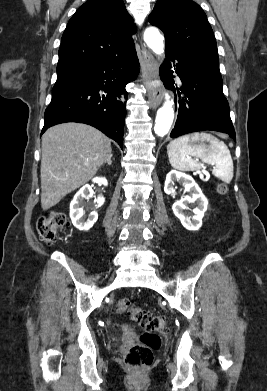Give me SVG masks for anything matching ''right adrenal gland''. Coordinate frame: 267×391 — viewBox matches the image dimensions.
Returning <instances> with one entry per match:
<instances>
[{
  "mask_svg": "<svg viewBox=\"0 0 267 391\" xmlns=\"http://www.w3.org/2000/svg\"><path fill=\"white\" fill-rule=\"evenodd\" d=\"M105 163H107L110 166L112 164L111 158L108 161H106Z\"/></svg>",
  "mask_w": 267,
  "mask_h": 391,
  "instance_id": "obj_1",
  "label": "right adrenal gland"
}]
</instances>
